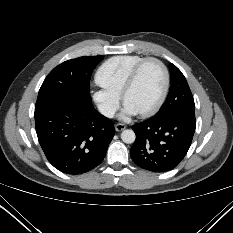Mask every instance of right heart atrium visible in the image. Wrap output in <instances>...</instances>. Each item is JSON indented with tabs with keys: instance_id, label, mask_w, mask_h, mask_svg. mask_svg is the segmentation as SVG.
<instances>
[{
	"instance_id": "1",
	"label": "right heart atrium",
	"mask_w": 233,
	"mask_h": 233,
	"mask_svg": "<svg viewBox=\"0 0 233 233\" xmlns=\"http://www.w3.org/2000/svg\"><path fill=\"white\" fill-rule=\"evenodd\" d=\"M97 85L98 87L95 88L92 92V98L100 112L104 116L111 118L115 115L116 111L119 108L120 95L107 88L102 87L99 84Z\"/></svg>"
}]
</instances>
